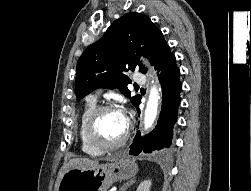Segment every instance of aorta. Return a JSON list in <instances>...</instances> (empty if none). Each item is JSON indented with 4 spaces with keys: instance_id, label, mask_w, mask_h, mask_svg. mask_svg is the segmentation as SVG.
Listing matches in <instances>:
<instances>
[{
    "instance_id": "762f6f07",
    "label": "aorta",
    "mask_w": 251,
    "mask_h": 191,
    "mask_svg": "<svg viewBox=\"0 0 251 191\" xmlns=\"http://www.w3.org/2000/svg\"><path fill=\"white\" fill-rule=\"evenodd\" d=\"M160 97H161L160 88H157V86H152L149 97H148V101L146 103L145 113H144L145 129H148V127H151V125H153L156 119Z\"/></svg>"
}]
</instances>
